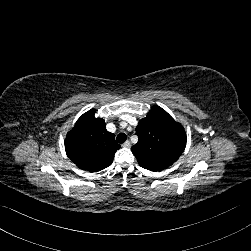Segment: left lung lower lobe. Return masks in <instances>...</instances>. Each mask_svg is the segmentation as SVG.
<instances>
[{"mask_svg": "<svg viewBox=\"0 0 251 251\" xmlns=\"http://www.w3.org/2000/svg\"><path fill=\"white\" fill-rule=\"evenodd\" d=\"M145 169H148V168H145ZM148 170H151V171H160V170H152V169H148Z\"/></svg>", "mask_w": 251, "mask_h": 251, "instance_id": "obj_1", "label": "left lung lower lobe"}]
</instances>
